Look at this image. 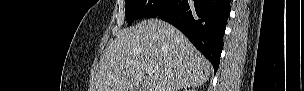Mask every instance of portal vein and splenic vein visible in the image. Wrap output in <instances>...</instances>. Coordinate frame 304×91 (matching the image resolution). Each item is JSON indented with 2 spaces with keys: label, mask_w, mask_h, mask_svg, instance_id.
<instances>
[{
  "label": "portal vein and splenic vein",
  "mask_w": 304,
  "mask_h": 91,
  "mask_svg": "<svg viewBox=\"0 0 304 91\" xmlns=\"http://www.w3.org/2000/svg\"><path fill=\"white\" fill-rule=\"evenodd\" d=\"M146 73L148 75H152L153 74V68L152 67H146Z\"/></svg>",
  "instance_id": "obj_1"
}]
</instances>
